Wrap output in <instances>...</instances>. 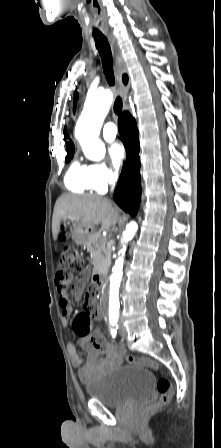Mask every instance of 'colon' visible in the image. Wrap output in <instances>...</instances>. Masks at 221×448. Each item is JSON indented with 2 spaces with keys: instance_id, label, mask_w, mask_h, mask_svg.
I'll return each instance as SVG.
<instances>
[{
  "instance_id": "1",
  "label": "colon",
  "mask_w": 221,
  "mask_h": 448,
  "mask_svg": "<svg viewBox=\"0 0 221 448\" xmlns=\"http://www.w3.org/2000/svg\"><path fill=\"white\" fill-rule=\"evenodd\" d=\"M79 267L80 264L76 251L71 247H65L58 262V270L56 274L58 289H64L70 284L72 272L78 270ZM92 292L93 289L90 288L86 299L90 304L94 306L95 298ZM87 329H90V325L87 327ZM125 360L127 363L132 365L149 367L154 371L159 370L158 364L151 359L126 356ZM156 388L159 393V399L157 402L149 404L141 411L140 417L142 419H147L148 417H150L160 406L167 404L171 399V383L167 377L162 375L157 380Z\"/></svg>"
}]
</instances>
